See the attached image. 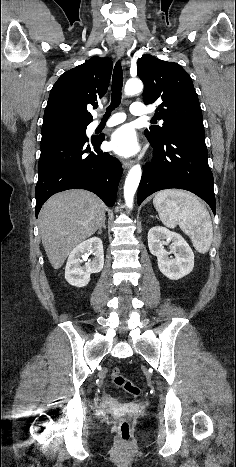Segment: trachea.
Masks as SVG:
<instances>
[{
    "instance_id": "obj_1",
    "label": "trachea",
    "mask_w": 236,
    "mask_h": 467,
    "mask_svg": "<svg viewBox=\"0 0 236 467\" xmlns=\"http://www.w3.org/2000/svg\"><path fill=\"white\" fill-rule=\"evenodd\" d=\"M123 86V71L120 61L115 64L112 77V94H111V105L107 108L104 119H107L111 112L120 105L121 103V92Z\"/></svg>"
}]
</instances>
